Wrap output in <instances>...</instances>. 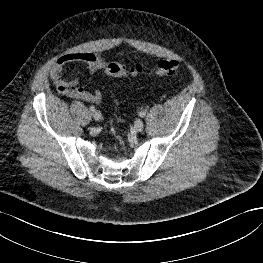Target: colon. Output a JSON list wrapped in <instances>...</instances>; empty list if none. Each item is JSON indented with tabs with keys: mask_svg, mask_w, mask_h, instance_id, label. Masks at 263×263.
I'll return each mask as SVG.
<instances>
[{
	"mask_svg": "<svg viewBox=\"0 0 263 263\" xmlns=\"http://www.w3.org/2000/svg\"><path fill=\"white\" fill-rule=\"evenodd\" d=\"M180 64L174 59L160 60L153 68L144 67L140 64L127 66L119 62L106 63L102 70L105 74L116 77L153 76L156 78L168 77L179 71Z\"/></svg>",
	"mask_w": 263,
	"mask_h": 263,
	"instance_id": "obj_1",
	"label": "colon"
}]
</instances>
